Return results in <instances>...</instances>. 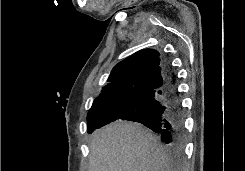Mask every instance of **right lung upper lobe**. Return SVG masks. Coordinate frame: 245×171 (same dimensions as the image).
Segmentation results:
<instances>
[{"label": "right lung upper lobe", "instance_id": "right-lung-upper-lobe-1", "mask_svg": "<svg viewBox=\"0 0 245 171\" xmlns=\"http://www.w3.org/2000/svg\"><path fill=\"white\" fill-rule=\"evenodd\" d=\"M165 84L164 59L153 49H143L119 62L112 70L108 84L94 102L114 97L131 99L153 92Z\"/></svg>", "mask_w": 245, "mask_h": 171}]
</instances>
